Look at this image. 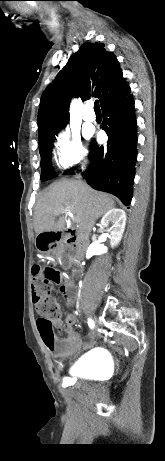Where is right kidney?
<instances>
[{
	"instance_id": "1",
	"label": "right kidney",
	"mask_w": 165,
	"mask_h": 461,
	"mask_svg": "<svg viewBox=\"0 0 165 461\" xmlns=\"http://www.w3.org/2000/svg\"><path fill=\"white\" fill-rule=\"evenodd\" d=\"M109 224L112 226L110 228ZM101 225L107 228L110 232V244L111 247H116L121 241L125 225H126V214L124 210L113 208L109 210L101 219ZM107 252V248L103 245L92 244L89 246L87 253L90 255H100Z\"/></svg>"
}]
</instances>
